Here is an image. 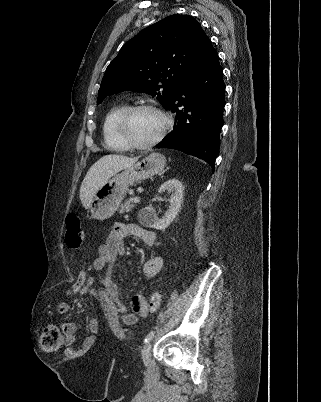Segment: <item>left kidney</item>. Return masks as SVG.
I'll list each match as a JSON object with an SVG mask.
<instances>
[{"label": "left kidney", "mask_w": 321, "mask_h": 402, "mask_svg": "<svg viewBox=\"0 0 321 402\" xmlns=\"http://www.w3.org/2000/svg\"><path fill=\"white\" fill-rule=\"evenodd\" d=\"M165 191L172 193V196L164 217L159 218L151 207H145L139 212L140 221L157 230H165L177 216L183 199L184 187L178 179L172 178L164 182L158 190L160 194Z\"/></svg>", "instance_id": "left-kidney-1"}]
</instances>
